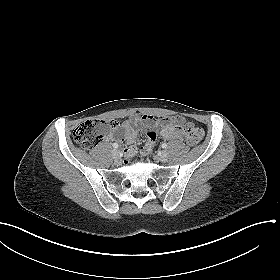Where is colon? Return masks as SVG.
<instances>
[{
  "label": "colon",
  "mask_w": 280,
  "mask_h": 280,
  "mask_svg": "<svg viewBox=\"0 0 280 280\" xmlns=\"http://www.w3.org/2000/svg\"><path fill=\"white\" fill-rule=\"evenodd\" d=\"M117 122L115 120L91 119L79 125L73 133L74 141L83 149L90 150L94 148L98 142L114 127ZM183 132L186 141L195 145L198 144L204 136L203 130L193 123L183 124ZM150 146H144L141 151L148 153L151 151Z\"/></svg>",
  "instance_id": "colon-1"
}]
</instances>
